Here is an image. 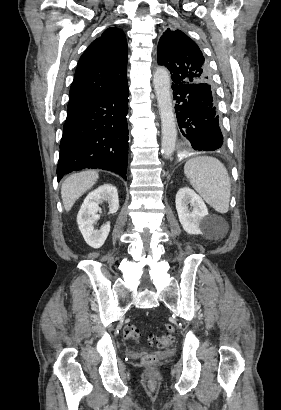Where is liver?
<instances>
[{
	"label": "liver",
	"instance_id": "6515ba94",
	"mask_svg": "<svg viewBox=\"0 0 281 410\" xmlns=\"http://www.w3.org/2000/svg\"><path fill=\"white\" fill-rule=\"evenodd\" d=\"M98 178L97 171L87 170L72 174L65 179L61 187V197L67 212L71 210L76 200L97 182Z\"/></svg>",
	"mask_w": 281,
	"mask_h": 410
}]
</instances>
